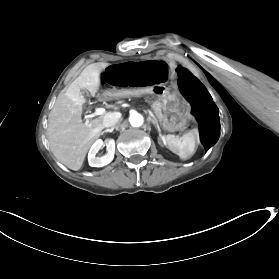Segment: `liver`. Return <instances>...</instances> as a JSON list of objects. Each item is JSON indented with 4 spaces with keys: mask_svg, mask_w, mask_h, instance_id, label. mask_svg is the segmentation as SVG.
Here are the masks:
<instances>
[{
    "mask_svg": "<svg viewBox=\"0 0 279 279\" xmlns=\"http://www.w3.org/2000/svg\"><path fill=\"white\" fill-rule=\"evenodd\" d=\"M96 64L86 67L65 93L59 94L48 115L47 138L56 159L73 171H79L91 145L100 137L104 128V114L90 123L82 122L83 105L86 102L81 89L92 96L100 91L104 69Z\"/></svg>",
    "mask_w": 279,
    "mask_h": 279,
    "instance_id": "obj_1",
    "label": "liver"
}]
</instances>
